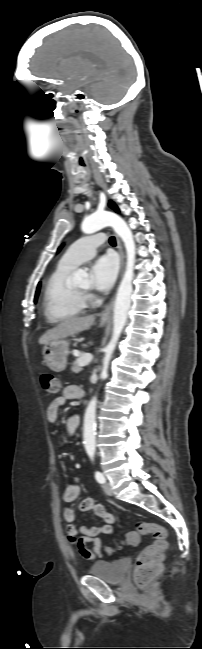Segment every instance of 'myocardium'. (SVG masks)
<instances>
[{
  "label": "myocardium",
  "mask_w": 202,
  "mask_h": 649,
  "mask_svg": "<svg viewBox=\"0 0 202 649\" xmlns=\"http://www.w3.org/2000/svg\"><path fill=\"white\" fill-rule=\"evenodd\" d=\"M74 290H75L76 294L78 295V297L80 299H82L83 301L86 300V298H87V290H81V289H78L76 287H74Z\"/></svg>",
  "instance_id": "1"
}]
</instances>
